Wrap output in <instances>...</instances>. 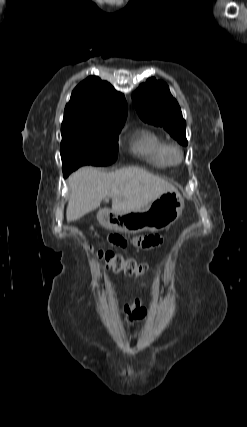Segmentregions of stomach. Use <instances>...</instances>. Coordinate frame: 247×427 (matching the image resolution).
Listing matches in <instances>:
<instances>
[{
    "instance_id": "obj_1",
    "label": "stomach",
    "mask_w": 247,
    "mask_h": 427,
    "mask_svg": "<svg viewBox=\"0 0 247 427\" xmlns=\"http://www.w3.org/2000/svg\"><path fill=\"white\" fill-rule=\"evenodd\" d=\"M184 209V199L177 190L161 194L146 208L128 213L100 210L97 219L105 228L126 232L162 231L174 224Z\"/></svg>"
}]
</instances>
